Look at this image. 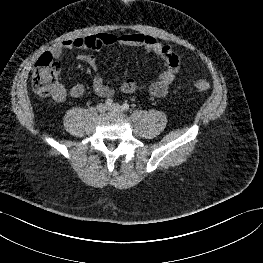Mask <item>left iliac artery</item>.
<instances>
[{
  "label": "left iliac artery",
  "instance_id": "left-iliac-artery-1",
  "mask_svg": "<svg viewBox=\"0 0 263 263\" xmlns=\"http://www.w3.org/2000/svg\"><path fill=\"white\" fill-rule=\"evenodd\" d=\"M122 108L124 111H127V110H129V105L127 103H125L122 105Z\"/></svg>",
  "mask_w": 263,
  "mask_h": 263
}]
</instances>
